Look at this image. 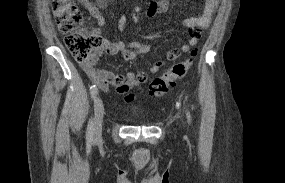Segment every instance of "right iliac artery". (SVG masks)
<instances>
[{
    "mask_svg": "<svg viewBox=\"0 0 285 183\" xmlns=\"http://www.w3.org/2000/svg\"><path fill=\"white\" fill-rule=\"evenodd\" d=\"M98 93V89L96 87V85H93L90 87V94L92 98H95L96 95ZM93 134H94V123L92 120L89 121V124L87 126V132H86V139L87 141H92L93 138Z\"/></svg>",
    "mask_w": 285,
    "mask_h": 183,
    "instance_id": "right-iliac-artery-1",
    "label": "right iliac artery"
}]
</instances>
